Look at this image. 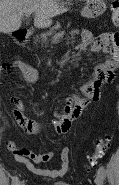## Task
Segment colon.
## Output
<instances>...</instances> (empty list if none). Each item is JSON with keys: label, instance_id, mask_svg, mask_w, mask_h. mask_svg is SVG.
Here are the masks:
<instances>
[{"label": "colon", "instance_id": "1", "mask_svg": "<svg viewBox=\"0 0 119 185\" xmlns=\"http://www.w3.org/2000/svg\"><path fill=\"white\" fill-rule=\"evenodd\" d=\"M111 20L114 25L119 24V0H114L112 3ZM98 81L99 80H97L94 84L97 85ZM110 140H111V136L107 135L104 139L100 140L97 143L94 152L88 157L89 168L96 165L98 159H100L104 154V152L107 150Z\"/></svg>", "mask_w": 119, "mask_h": 185}]
</instances>
